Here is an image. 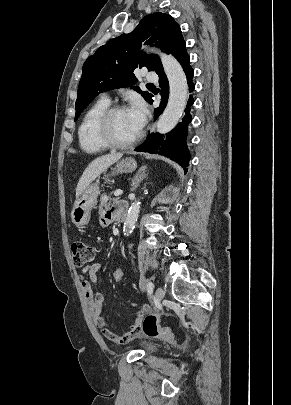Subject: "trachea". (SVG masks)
<instances>
[{"instance_id": "obj_1", "label": "trachea", "mask_w": 291, "mask_h": 405, "mask_svg": "<svg viewBox=\"0 0 291 405\" xmlns=\"http://www.w3.org/2000/svg\"><path fill=\"white\" fill-rule=\"evenodd\" d=\"M147 86H153V84L149 83V84H147Z\"/></svg>"}]
</instances>
